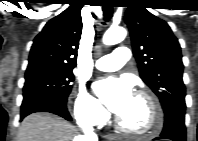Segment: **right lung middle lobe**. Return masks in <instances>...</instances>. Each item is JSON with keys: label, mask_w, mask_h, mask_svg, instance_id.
<instances>
[{"label": "right lung middle lobe", "mask_w": 198, "mask_h": 141, "mask_svg": "<svg viewBox=\"0 0 198 141\" xmlns=\"http://www.w3.org/2000/svg\"><path fill=\"white\" fill-rule=\"evenodd\" d=\"M73 81L72 70L40 69L26 72L23 97L45 96L66 103Z\"/></svg>", "instance_id": "right-lung-middle-lobe-1"}]
</instances>
